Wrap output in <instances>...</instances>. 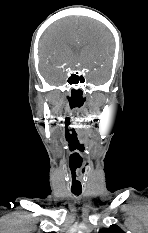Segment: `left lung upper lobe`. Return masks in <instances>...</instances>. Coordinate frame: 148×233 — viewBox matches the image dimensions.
Returning <instances> with one entry per match:
<instances>
[{
	"label": "left lung upper lobe",
	"mask_w": 148,
	"mask_h": 233,
	"mask_svg": "<svg viewBox=\"0 0 148 233\" xmlns=\"http://www.w3.org/2000/svg\"><path fill=\"white\" fill-rule=\"evenodd\" d=\"M99 233H125V232L116 224H113L109 228L101 229Z\"/></svg>",
	"instance_id": "left-lung-upper-lobe-1"
}]
</instances>
